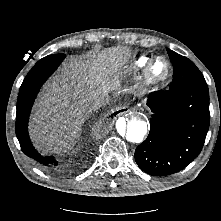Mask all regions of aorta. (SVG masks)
Listing matches in <instances>:
<instances>
[{"instance_id":"1","label":"aorta","mask_w":221,"mask_h":221,"mask_svg":"<svg viewBox=\"0 0 221 221\" xmlns=\"http://www.w3.org/2000/svg\"><path fill=\"white\" fill-rule=\"evenodd\" d=\"M147 121L142 115L132 114L116 120L115 133L125 142L141 143L147 133Z\"/></svg>"}]
</instances>
